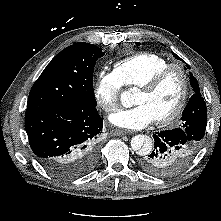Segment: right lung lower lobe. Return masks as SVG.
Here are the masks:
<instances>
[{
	"instance_id": "right-lung-lower-lobe-1",
	"label": "right lung lower lobe",
	"mask_w": 221,
	"mask_h": 221,
	"mask_svg": "<svg viewBox=\"0 0 221 221\" xmlns=\"http://www.w3.org/2000/svg\"><path fill=\"white\" fill-rule=\"evenodd\" d=\"M102 128L96 107H27L25 113L32 151L50 173L62 179L77 178L94 168Z\"/></svg>"
}]
</instances>
